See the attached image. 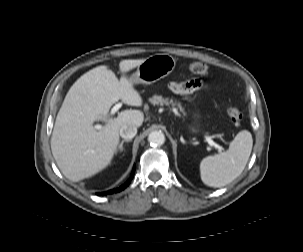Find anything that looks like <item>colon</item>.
<instances>
[{"mask_svg":"<svg viewBox=\"0 0 303 252\" xmlns=\"http://www.w3.org/2000/svg\"><path fill=\"white\" fill-rule=\"evenodd\" d=\"M189 70L195 75H206L209 72V67L202 62H191L189 64ZM227 114L230 121L234 125L238 126L241 124L243 120V113L239 109L233 106H229L227 108Z\"/></svg>","mask_w":303,"mask_h":252,"instance_id":"1","label":"colon"}]
</instances>
